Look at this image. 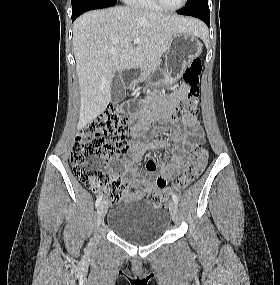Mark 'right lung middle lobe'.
Returning <instances> with one entry per match:
<instances>
[{
    "mask_svg": "<svg viewBox=\"0 0 280 285\" xmlns=\"http://www.w3.org/2000/svg\"><path fill=\"white\" fill-rule=\"evenodd\" d=\"M116 2L117 0H71L72 11H76L90 4H113Z\"/></svg>",
    "mask_w": 280,
    "mask_h": 285,
    "instance_id": "dd1d6c3e",
    "label": "right lung middle lobe"
}]
</instances>
